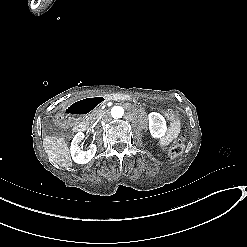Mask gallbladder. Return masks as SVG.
<instances>
[{"label":"gallbladder","mask_w":247,"mask_h":247,"mask_svg":"<svg viewBox=\"0 0 247 247\" xmlns=\"http://www.w3.org/2000/svg\"><path fill=\"white\" fill-rule=\"evenodd\" d=\"M42 128L47 130L50 135L62 134L64 136H69V131L61 129L62 125L59 124L58 119L50 116L45 117L44 122L42 123Z\"/></svg>","instance_id":"gallbladder-1"}]
</instances>
